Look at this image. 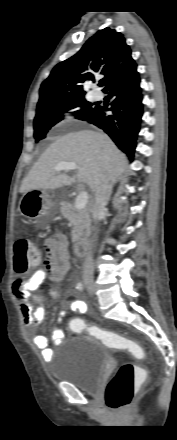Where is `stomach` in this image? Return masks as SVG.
Instances as JSON below:
<instances>
[{"instance_id": "1", "label": "stomach", "mask_w": 177, "mask_h": 440, "mask_svg": "<svg viewBox=\"0 0 177 440\" xmlns=\"http://www.w3.org/2000/svg\"><path fill=\"white\" fill-rule=\"evenodd\" d=\"M19 211L24 217L44 225L57 213L58 207L48 191L30 190L21 197Z\"/></svg>"}]
</instances>
